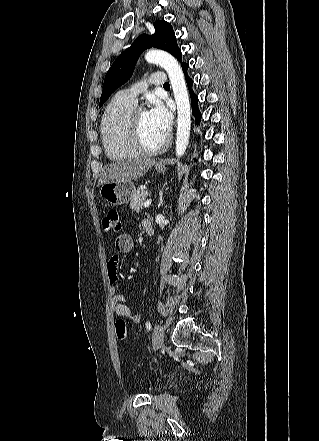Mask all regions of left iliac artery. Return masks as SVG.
<instances>
[{
	"instance_id": "44dca946",
	"label": "left iliac artery",
	"mask_w": 319,
	"mask_h": 441,
	"mask_svg": "<svg viewBox=\"0 0 319 441\" xmlns=\"http://www.w3.org/2000/svg\"><path fill=\"white\" fill-rule=\"evenodd\" d=\"M145 325H146V329L147 330H151L152 326H151V323L149 321H147Z\"/></svg>"
}]
</instances>
